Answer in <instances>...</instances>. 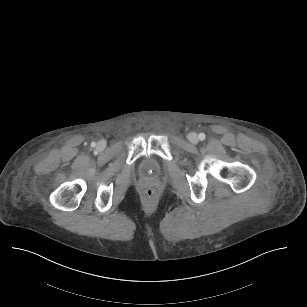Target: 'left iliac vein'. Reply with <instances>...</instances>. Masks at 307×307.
<instances>
[{
	"instance_id": "left-iliac-vein-1",
	"label": "left iliac vein",
	"mask_w": 307,
	"mask_h": 307,
	"mask_svg": "<svg viewBox=\"0 0 307 307\" xmlns=\"http://www.w3.org/2000/svg\"><path fill=\"white\" fill-rule=\"evenodd\" d=\"M189 141L193 144H196L198 142V136L196 133H190L189 134Z\"/></svg>"
}]
</instances>
